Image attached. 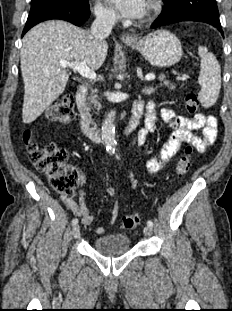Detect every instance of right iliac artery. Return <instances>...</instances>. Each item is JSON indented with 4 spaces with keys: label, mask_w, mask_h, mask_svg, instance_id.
Here are the masks:
<instances>
[{
    "label": "right iliac artery",
    "mask_w": 232,
    "mask_h": 311,
    "mask_svg": "<svg viewBox=\"0 0 232 311\" xmlns=\"http://www.w3.org/2000/svg\"><path fill=\"white\" fill-rule=\"evenodd\" d=\"M71 223H72V225H77L78 224V219H76V218L73 219Z\"/></svg>",
    "instance_id": "82829eb1"
}]
</instances>
